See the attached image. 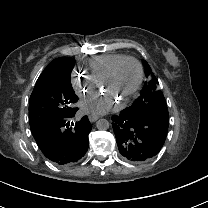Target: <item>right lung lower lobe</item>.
I'll return each mask as SVG.
<instances>
[{
  "mask_svg": "<svg viewBox=\"0 0 208 208\" xmlns=\"http://www.w3.org/2000/svg\"><path fill=\"white\" fill-rule=\"evenodd\" d=\"M74 115L30 121V128L38 147L55 164L75 163L88 150V135L92 125L87 116L75 124L70 123Z\"/></svg>",
  "mask_w": 208,
  "mask_h": 208,
  "instance_id": "98d812e1",
  "label": "right lung lower lobe"
}]
</instances>
